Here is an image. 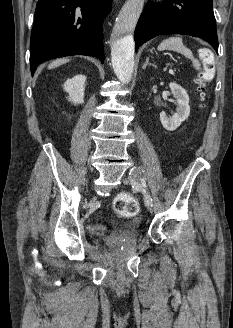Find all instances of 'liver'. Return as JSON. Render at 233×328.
<instances>
[{
	"label": "liver",
	"mask_w": 233,
	"mask_h": 328,
	"mask_svg": "<svg viewBox=\"0 0 233 328\" xmlns=\"http://www.w3.org/2000/svg\"><path fill=\"white\" fill-rule=\"evenodd\" d=\"M69 61V59H58V60H55L53 62H51L49 65H48V68L49 69H52V68H55V67H58L64 63H67Z\"/></svg>",
	"instance_id": "6515ba94"
}]
</instances>
